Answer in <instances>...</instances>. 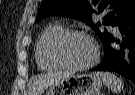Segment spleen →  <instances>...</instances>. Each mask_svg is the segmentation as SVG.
Instances as JSON below:
<instances>
[{
	"label": "spleen",
	"mask_w": 135,
	"mask_h": 95,
	"mask_svg": "<svg viewBox=\"0 0 135 95\" xmlns=\"http://www.w3.org/2000/svg\"><path fill=\"white\" fill-rule=\"evenodd\" d=\"M97 76H99L102 79L104 85L111 89L112 92L118 94L122 91L124 83L120 78H118L114 74L109 72H99L97 73Z\"/></svg>",
	"instance_id": "obj_1"
}]
</instances>
